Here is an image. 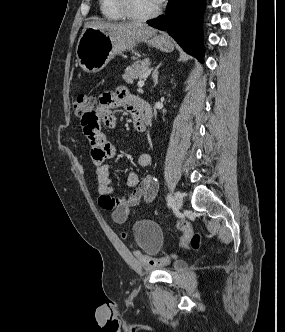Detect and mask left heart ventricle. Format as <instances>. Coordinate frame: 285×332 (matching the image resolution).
<instances>
[{
    "label": "left heart ventricle",
    "mask_w": 285,
    "mask_h": 332,
    "mask_svg": "<svg viewBox=\"0 0 285 332\" xmlns=\"http://www.w3.org/2000/svg\"><path fill=\"white\" fill-rule=\"evenodd\" d=\"M134 10L139 14H148L153 12L157 7L155 0H132Z\"/></svg>",
    "instance_id": "b2bd125f"
}]
</instances>
